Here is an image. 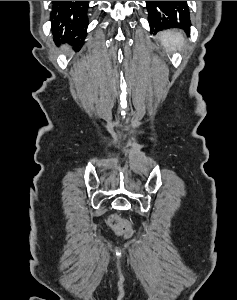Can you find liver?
Instances as JSON below:
<instances>
[{
    "mask_svg": "<svg viewBox=\"0 0 237 300\" xmlns=\"http://www.w3.org/2000/svg\"><path fill=\"white\" fill-rule=\"evenodd\" d=\"M65 51H69V47H64Z\"/></svg>",
    "mask_w": 237,
    "mask_h": 300,
    "instance_id": "liver-1",
    "label": "liver"
}]
</instances>
